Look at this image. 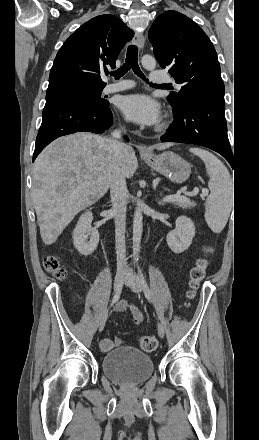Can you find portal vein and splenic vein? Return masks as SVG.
Listing matches in <instances>:
<instances>
[{"instance_id":"1","label":"portal vein and splenic vein","mask_w":259,"mask_h":440,"mask_svg":"<svg viewBox=\"0 0 259 440\" xmlns=\"http://www.w3.org/2000/svg\"><path fill=\"white\" fill-rule=\"evenodd\" d=\"M199 193V188H194V190L192 192H184L185 195H180V194H174V195H169L166 198H164V201L166 202H174V201H179V202H188L190 201V199L187 197H192L195 196ZM209 193V191L207 189H202V195L205 197L207 196Z\"/></svg>"}]
</instances>
